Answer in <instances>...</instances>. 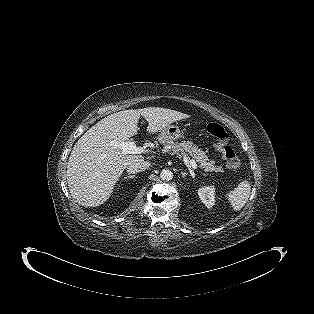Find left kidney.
Returning <instances> with one entry per match:
<instances>
[{"label": "left kidney", "instance_id": "obj_1", "mask_svg": "<svg viewBox=\"0 0 314 314\" xmlns=\"http://www.w3.org/2000/svg\"><path fill=\"white\" fill-rule=\"evenodd\" d=\"M198 196L207 208H211L215 204L214 186H205L199 188Z\"/></svg>", "mask_w": 314, "mask_h": 314}]
</instances>
